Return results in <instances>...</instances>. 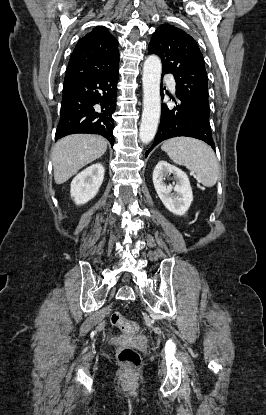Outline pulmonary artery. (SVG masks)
<instances>
[{"instance_id":"e3ab8cb5","label":"pulmonary artery","mask_w":266,"mask_h":415,"mask_svg":"<svg viewBox=\"0 0 266 415\" xmlns=\"http://www.w3.org/2000/svg\"><path fill=\"white\" fill-rule=\"evenodd\" d=\"M167 84H168V86H169L172 90H174V89H175V82H174V80H173V79H171V78H167Z\"/></svg>"}]
</instances>
